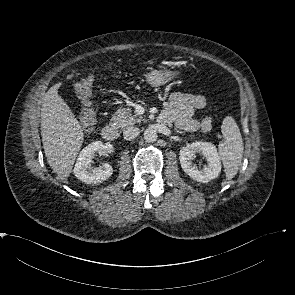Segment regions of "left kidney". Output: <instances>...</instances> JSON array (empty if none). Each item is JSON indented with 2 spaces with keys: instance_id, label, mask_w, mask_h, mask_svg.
<instances>
[{
  "instance_id": "obj_1",
  "label": "left kidney",
  "mask_w": 295,
  "mask_h": 295,
  "mask_svg": "<svg viewBox=\"0 0 295 295\" xmlns=\"http://www.w3.org/2000/svg\"><path fill=\"white\" fill-rule=\"evenodd\" d=\"M200 153L206 157L207 165L198 169L192 160L195 154ZM180 164L183 171L197 182L207 183L219 176L221 162L216 147L209 142L196 141L179 152Z\"/></svg>"
}]
</instances>
